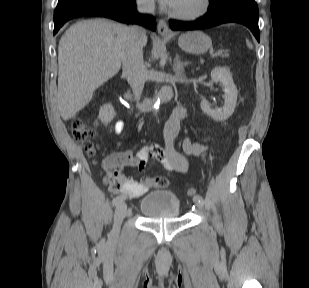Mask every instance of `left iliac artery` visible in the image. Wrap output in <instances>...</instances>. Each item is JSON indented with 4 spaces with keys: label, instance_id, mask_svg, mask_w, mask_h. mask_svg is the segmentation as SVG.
I'll return each mask as SVG.
<instances>
[{
    "label": "left iliac artery",
    "instance_id": "left-iliac-artery-1",
    "mask_svg": "<svg viewBox=\"0 0 309 288\" xmlns=\"http://www.w3.org/2000/svg\"><path fill=\"white\" fill-rule=\"evenodd\" d=\"M196 200H202V197L197 195L196 197L193 198V201H196Z\"/></svg>",
    "mask_w": 309,
    "mask_h": 288
}]
</instances>
